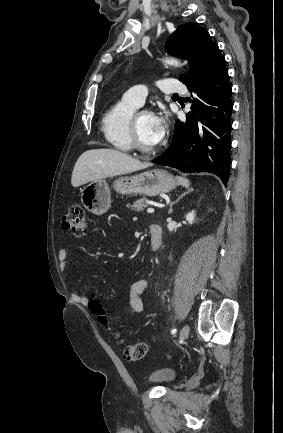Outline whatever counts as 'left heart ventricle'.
Wrapping results in <instances>:
<instances>
[{"label":"left heart ventricle","mask_w":283,"mask_h":433,"mask_svg":"<svg viewBox=\"0 0 283 433\" xmlns=\"http://www.w3.org/2000/svg\"><path fill=\"white\" fill-rule=\"evenodd\" d=\"M151 114L142 113L138 117V134L143 148L147 151H156L157 148L152 147L149 143L148 135L150 129Z\"/></svg>","instance_id":"1"}]
</instances>
